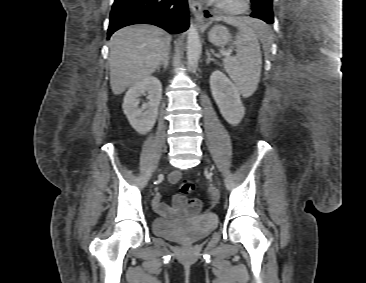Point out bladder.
Here are the masks:
<instances>
[{"label":"bladder","instance_id":"1","mask_svg":"<svg viewBox=\"0 0 366 283\" xmlns=\"http://www.w3.org/2000/svg\"><path fill=\"white\" fill-rule=\"evenodd\" d=\"M217 224L214 216H200L184 220L155 218L151 226L157 236L179 243H194L212 233Z\"/></svg>","mask_w":366,"mask_h":283}]
</instances>
